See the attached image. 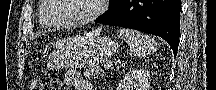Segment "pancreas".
<instances>
[{
    "label": "pancreas",
    "mask_w": 216,
    "mask_h": 90,
    "mask_svg": "<svg viewBox=\"0 0 216 90\" xmlns=\"http://www.w3.org/2000/svg\"><path fill=\"white\" fill-rule=\"evenodd\" d=\"M99 69H101V64H90L89 70H86L84 74L89 80H95V78H98V74L102 72V70Z\"/></svg>",
    "instance_id": "1"
}]
</instances>
